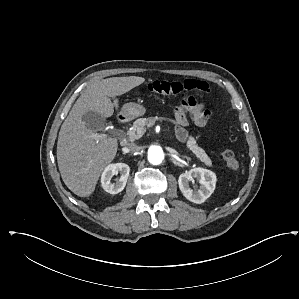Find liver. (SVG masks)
Listing matches in <instances>:
<instances>
[{
    "instance_id": "1",
    "label": "liver",
    "mask_w": 299,
    "mask_h": 299,
    "mask_svg": "<svg viewBox=\"0 0 299 299\" xmlns=\"http://www.w3.org/2000/svg\"><path fill=\"white\" fill-rule=\"evenodd\" d=\"M145 82L138 76L112 77L91 82L73 105L63 122L57 142V163L65 185L77 196L88 197L104 168L117 153L112 137L96 140L92 134L102 130L106 118L118 109V99ZM122 115V113H121Z\"/></svg>"
}]
</instances>
